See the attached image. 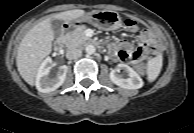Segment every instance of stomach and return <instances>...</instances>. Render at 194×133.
I'll list each match as a JSON object with an SVG mask.
<instances>
[{"label": "stomach", "mask_w": 194, "mask_h": 133, "mask_svg": "<svg viewBox=\"0 0 194 133\" xmlns=\"http://www.w3.org/2000/svg\"><path fill=\"white\" fill-rule=\"evenodd\" d=\"M72 26H77L81 22H88L102 30H116L121 26V18L115 11L99 10L90 12L83 17L69 21Z\"/></svg>", "instance_id": "stomach-1"}]
</instances>
